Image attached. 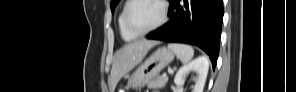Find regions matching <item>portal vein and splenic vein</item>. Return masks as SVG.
<instances>
[{"label": "portal vein and splenic vein", "mask_w": 296, "mask_h": 92, "mask_svg": "<svg viewBox=\"0 0 296 92\" xmlns=\"http://www.w3.org/2000/svg\"><path fill=\"white\" fill-rule=\"evenodd\" d=\"M168 73L172 74L173 70H169ZM166 76H167L166 74H163V77H166Z\"/></svg>", "instance_id": "1"}]
</instances>
